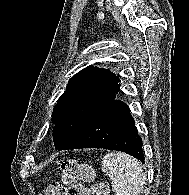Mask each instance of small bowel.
I'll list each match as a JSON object with an SVG mask.
<instances>
[{
    "label": "small bowel",
    "mask_w": 189,
    "mask_h": 195,
    "mask_svg": "<svg viewBox=\"0 0 189 195\" xmlns=\"http://www.w3.org/2000/svg\"><path fill=\"white\" fill-rule=\"evenodd\" d=\"M80 195H93L92 189L89 187L81 186Z\"/></svg>",
    "instance_id": "1"
}]
</instances>
